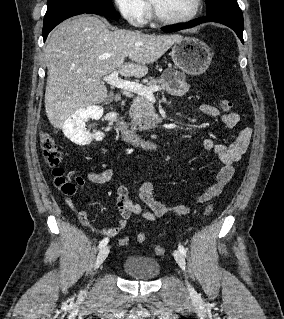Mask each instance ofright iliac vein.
<instances>
[{"mask_svg": "<svg viewBox=\"0 0 284 319\" xmlns=\"http://www.w3.org/2000/svg\"><path fill=\"white\" fill-rule=\"evenodd\" d=\"M109 247L108 246H104L98 253L96 261H95V265L94 268L97 269L100 267V265L104 262V260L107 258L108 254H109Z\"/></svg>", "mask_w": 284, "mask_h": 319, "instance_id": "right-iliac-vein-1", "label": "right iliac vein"}]
</instances>
